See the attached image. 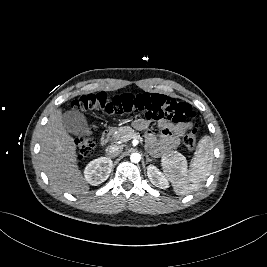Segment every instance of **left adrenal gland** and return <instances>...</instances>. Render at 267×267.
<instances>
[{
    "label": "left adrenal gland",
    "instance_id": "1",
    "mask_svg": "<svg viewBox=\"0 0 267 267\" xmlns=\"http://www.w3.org/2000/svg\"><path fill=\"white\" fill-rule=\"evenodd\" d=\"M150 161H153V159L150 158L148 154H146V162L148 163V162H150Z\"/></svg>",
    "mask_w": 267,
    "mask_h": 267
}]
</instances>
